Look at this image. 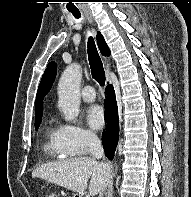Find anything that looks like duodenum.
<instances>
[{
	"mask_svg": "<svg viewBox=\"0 0 191 197\" xmlns=\"http://www.w3.org/2000/svg\"><path fill=\"white\" fill-rule=\"evenodd\" d=\"M75 197H82L81 195H76Z\"/></svg>",
	"mask_w": 191,
	"mask_h": 197,
	"instance_id": "1",
	"label": "duodenum"
}]
</instances>
